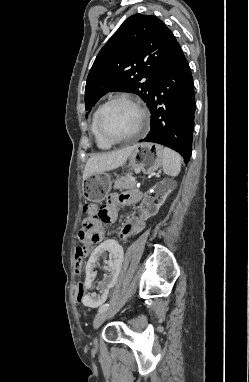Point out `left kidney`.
I'll return each mask as SVG.
<instances>
[{"instance_id": "1", "label": "left kidney", "mask_w": 249, "mask_h": 382, "mask_svg": "<svg viewBox=\"0 0 249 382\" xmlns=\"http://www.w3.org/2000/svg\"><path fill=\"white\" fill-rule=\"evenodd\" d=\"M176 182L172 179H163L156 185L151 186L148 196H145V201L139 202L140 208H156V212L165 202L167 196L175 189ZM115 237H110L109 240H102L92 255L89 258L85 272L86 276L82 277V282L86 287H91L92 282L96 281V289L89 291L88 295H83L80 299V304L84 309L92 307H102L103 302L111 293V287L116 286V277L121 273V266L125 252L124 245H118ZM101 257H113V260L101 262ZM106 269V270H105ZM103 273V280H98V277Z\"/></svg>"}]
</instances>
